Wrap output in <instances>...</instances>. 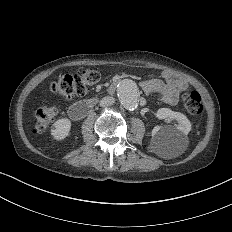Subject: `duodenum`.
Segmentation results:
<instances>
[{"instance_id": "1", "label": "duodenum", "mask_w": 232, "mask_h": 232, "mask_svg": "<svg viewBox=\"0 0 232 232\" xmlns=\"http://www.w3.org/2000/svg\"><path fill=\"white\" fill-rule=\"evenodd\" d=\"M119 81H113L107 88L108 93H113L118 85ZM96 99L92 98L76 104H73L68 109V115L73 120H80L84 118L91 111L95 104Z\"/></svg>"}]
</instances>
